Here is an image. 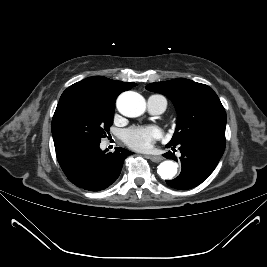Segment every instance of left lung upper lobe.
I'll return each instance as SVG.
<instances>
[{
    "mask_svg": "<svg viewBox=\"0 0 267 267\" xmlns=\"http://www.w3.org/2000/svg\"><path fill=\"white\" fill-rule=\"evenodd\" d=\"M146 88L167 96L177 110L176 131L167 146L201 138L225 141L226 113L218 96L209 86L177 78L151 83Z\"/></svg>",
    "mask_w": 267,
    "mask_h": 267,
    "instance_id": "left-lung-upper-lobe-1",
    "label": "left lung upper lobe"
}]
</instances>
